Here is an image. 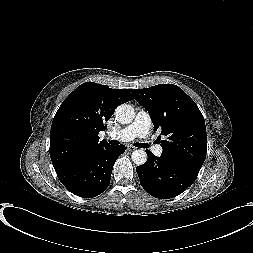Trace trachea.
Returning <instances> with one entry per match:
<instances>
[{
	"instance_id": "1",
	"label": "trachea",
	"mask_w": 253,
	"mask_h": 253,
	"mask_svg": "<svg viewBox=\"0 0 253 253\" xmlns=\"http://www.w3.org/2000/svg\"><path fill=\"white\" fill-rule=\"evenodd\" d=\"M109 143H110L111 145H118V144H119V141H117V140H111ZM135 146H136V147H140V148H147L148 145L145 144V143H136Z\"/></svg>"
}]
</instances>
